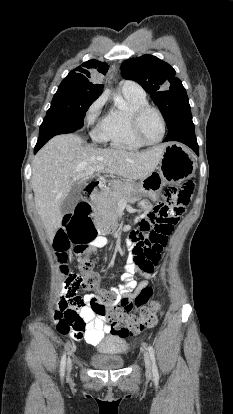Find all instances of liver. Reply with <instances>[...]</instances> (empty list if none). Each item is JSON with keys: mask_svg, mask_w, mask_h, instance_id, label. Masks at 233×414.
<instances>
[{"mask_svg": "<svg viewBox=\"0 0 233 414\" xmlns=\"http://www.w3.org/2000/svg\"><path fill=\"white\" fill-rule=\"evenodd\" d=\"M166 145L145 151L100 149L84 145L75 134H62L49 140L36 154L32 163L31 185L35 208L47 236L53 239L61 227L62 203L79 180L94 174L93 169L119 175L129 180L149 176L159 164Z\"/></svg>", "mask_w": 233, "mask_h": 414, "instance_id": "liver-1", "label": "liver"}]
</instances>
